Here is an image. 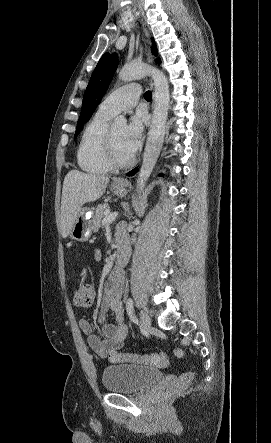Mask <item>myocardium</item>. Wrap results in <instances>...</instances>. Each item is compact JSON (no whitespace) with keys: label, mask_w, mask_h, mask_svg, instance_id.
<instances>
[{"label":"myocardium","mask_w":271,"mask_h":443,"mask_svg":"<svg viewBox=\"0 0 271 443\" xmlns=\"http://www.w3.org/2000/svg\"><path fill=\"white\" fill-rule=\"evenodd\" d=\"M106 149L109 161L115 167L119 168L127 167L134 160L132 156H130L129 158H122L118 154L114 141L113 128H110L108 131L107 140H106Z\"/></svg>","instance_id":"1"}]
</instances>
